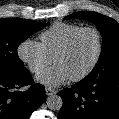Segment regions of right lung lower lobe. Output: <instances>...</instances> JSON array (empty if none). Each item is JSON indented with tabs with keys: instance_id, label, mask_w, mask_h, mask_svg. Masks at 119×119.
I'll use <instances>...</instances> for the list:
<instances>
[{
	"instance_id": "98d812e1",
	"label": "right lung lower lobe",
	"mask_w": 119,
	"mask_h": 119,
	"mask_svg": "<svg viewBox=\"0 0 119 119\" xmlns=\"http://www.w3.org/2000/svg\"><path fill=\"white\" fill-rule=\"evenodd\" d=\"M27 85L30 86L26 91H19ZM45 99L44 87L33 82L26 68L20 72L0 73V119H29Z\"/></svg>"
}]
</instances>
